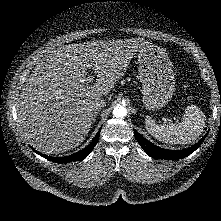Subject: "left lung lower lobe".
I'll use <instances>...</instances> for the list:
<instances>
[{
  "instance_id": "left-lung-lower-lobe-1",
  "label": "left lung lower lobe",
  "mask_w": 221,
  "mask_h": 221,
  "mask_svg": "<svg viewBox=\"0 0 221 221\" xmlns=\"http://www.w3.org/2000/svg\"><path fill=\"white\" fill-rule=\"evenodd\" d=\"M134 134H135L136 140L138 141L140 146L143 148V150L149 156H151L152 158H155V159H167V160H178V159H182L184 157H187L188 155L193 153L201 145V143L203 142V140L207 136V134H206L205 137H203L198 143H196L195 145H193L190 148L179 150V151H174V150L163 149V148L153 145L152 143L147 141L145 138H143L136 131H134Z\"/></svg>"
}]
</instances>
